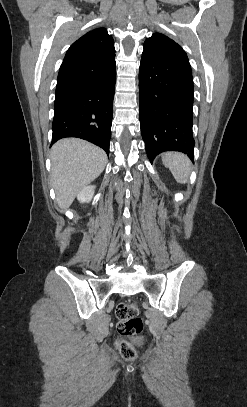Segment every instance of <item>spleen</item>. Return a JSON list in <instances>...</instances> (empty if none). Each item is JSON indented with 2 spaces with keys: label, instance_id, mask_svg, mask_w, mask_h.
<instances>
[{
  "label": "spleen",
  "instance_id": "obj_1",
  "mask_svg": "<svg viewBox=\"0 0 247 407\" xmlns=\"http://www.w3.org/2000/svg\"><path fill=\"white\" fill-rule=\"evenodd\" d=\"M162 162L169 168L178 183L185 184L189 181L192 164L186 155L179 152H166L162 155Z\"/></svg>",
  "mask_w": 247,
  "mask_h": 407
}]
</instances>
